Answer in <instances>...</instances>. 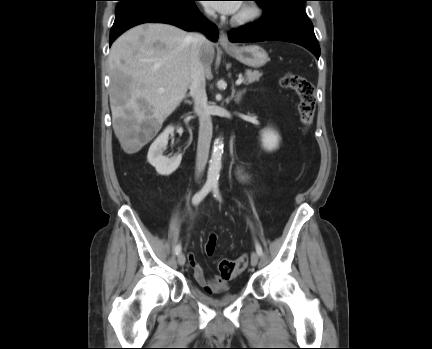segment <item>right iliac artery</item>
<instances>
[{
    "instance_id": "right-iliac-artery-1",
    "label": "right iliac artery",
    "mask_w": 432,
    "mask_h": 349,
    "mask_svg": "<svg viewBox=\"0 0 432 349\" xmlns=\"http://www.w3.org/2000/svg\"><path fill=\"white\" fill-rule=\"evenodd\" d=\"M212 187H213V183L206 182L205 185L203 186V188L193 196L192 204L198 205L206 197V195L211 191ZM180 252H181V245L177 244L175 247V254L178 255V254H180Z\"/></svg>"
}]
</instances>
